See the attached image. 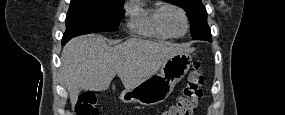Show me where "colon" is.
<instances>
[{
  "label": "colon",
  "mask_w": 285,
  "mask_h": 115,
  "mask_svg": "<svg viewBox=\"0 0 285 115\" xmlns=\"http://www.w3.org/2000/svg\"><path fill=\"white\" fill-rule=\"evenodd\" d=\"M204 82L203 67L195 61L192 70L187 76L186 84L178 101L163 110L161 115H192L203 96L202 85ZM77 113L80 115H96V98L91 92L81 94L77 104Z\"/></svg>",
  "instance_id": "colon-1"
}]
</instances>
